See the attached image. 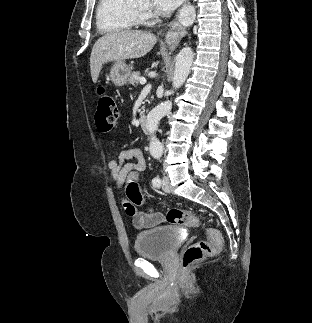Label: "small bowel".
Wrapping results in <instances>:
<instances>
[{
	"instance_id": "1",
	"label": "small bowel",
	"mask_w": 312,
	"mask_h": 323,
	"mask_svg": "<svg viewBox=\"0 0 312 323\" xmlns=\"http://www.w3.org/2000/svg\"><path fill=\"white\" fill-rule=\"evenodd\" d=\"M134 160V162H131ZM125 167H137L138 171H145L146 159L142 149L138 147H130L123 149L116 159H112L108 162V168L111 173V177L116 183L119 189H122L124 176H130V174L124 173ZM132 223L137 229H149L153 228L164 221V217L161 212L157 210L140 211L138 214H133Z\"/></svg>"
}]
</instances>
